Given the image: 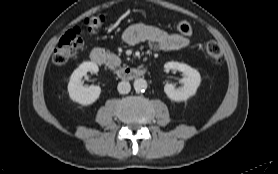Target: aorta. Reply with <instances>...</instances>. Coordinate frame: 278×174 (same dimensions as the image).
Here are the masks:
<instances>
[{"label": "aorta", "mask_w": 278, "mask_h": 174, "mask_svg": "<svg viewBox=\"0 0 278 174\" xmlns=\"http://www.w3.org/2000/svg\"><path fill=\"white\" fill-rule=\"evenodd\" d=\"M133 86L134 89L138 92L145 91L147 88V82L143 78H138L134 80Z\"/></svg>", "instance_id": "obj_1"}]
</instances>
